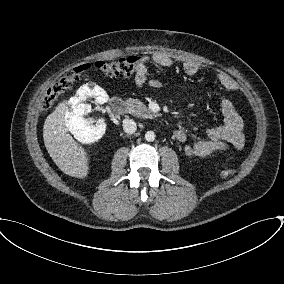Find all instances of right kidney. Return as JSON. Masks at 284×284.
Returning <instances> with one entry per match:
<instances>
[{
	"instance_id": "obj_1",
	"label": "right kidney",
	"mask_w": 284,
	"mask_h": 284,
	"mask_svg": "<svg viewBox=\"0 0 284 284\" xmlns=\"http://www.w3.org/2000/svg\"><path fill=\"white\" fill-rule=\"evenodd\" d=\"M94 96L99 104H104L108 100V95L104 89L96 84H85L76 93V97L70 101V109L66 114V126L74 137L81 143H93L98 141L105 133L106 124L98 121L96 125L84 118L90 106L84 104L88 97Z\"/></svg>"
}]
</instances>
